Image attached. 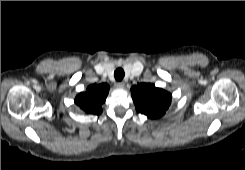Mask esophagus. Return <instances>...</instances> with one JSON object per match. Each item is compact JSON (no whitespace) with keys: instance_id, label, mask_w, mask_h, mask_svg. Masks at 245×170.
Masks as SVG:
<instances>
[{"instance_id":"obj_1","label":"esophagus","mask_w":245,"mask_h":170,"mask_svg":"<svg viewBox=\"0 0 245 170\" xmlns=\"http://www.w3.org/2000/svg\"><path fill=\"white\" fill-rule=\"evenodd\" d=\"M116 86H117L119 89H124V88H125V83H124V82H117V83H116Z\"/></svg>"}]
</instances>
